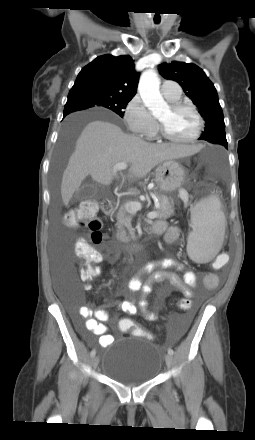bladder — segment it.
<instances>
[{"label":"bladder","mask_w":255,"mask_h":440,"mask_svg":"<svg viewBox=\"0 0 255 440\" xmlns=\"http://www.w3.org/2000/svg\"><path fill=\"white\" fill-rule=\"evenodd\" d=\"M161 365L160 349L148 340L137 339L134 345L123 347L115 344L109 347L102 372L122 385L135 387L152 381Z\"/></svg>","instance_id":"31cf9c89"}]
</instances>
